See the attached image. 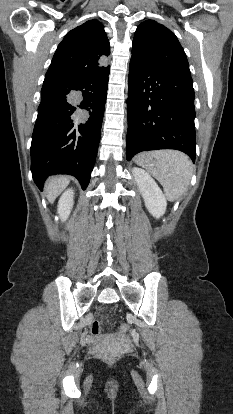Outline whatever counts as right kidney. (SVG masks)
<instances>
[{
    "label": "right kidney",
    "instance_id": "obj_1",
    "mask_svg": "<svg viewBox=\"0 0 233 414\" xmlns=\"http://www.w3.org/2000/svg\"><path fill=\"white\" fill-rule=\"evenodd\" d=\"M74 191L72 189L66 190L59 199L58 213L62 221L67 220L73 208Z\"/></svg>",
    "mask_w": 233,
    "mask_h": 414
}]
</instances>
